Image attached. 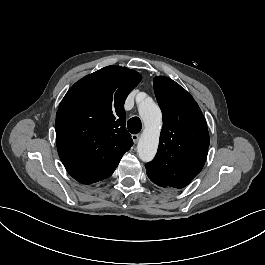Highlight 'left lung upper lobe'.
<instances>
[{
  "mask_svg": "<svg viewBox=\"0 0 265 265\" xmlns=\"http://www.w3.org/2000/svg\"><path fill=\"white\" fill-rule=\"evenodd\" d=\"M163 127L158 152L147 175L164 187L182 189L202 170L209 148L206 120L193 97L164 76L153 80Z\"/></svg>",
  "mask_w": 265,
  "mask_h": 265,
  "instance_id": "1",
  "label": "left lung upper lobe"
}]
</instances>
